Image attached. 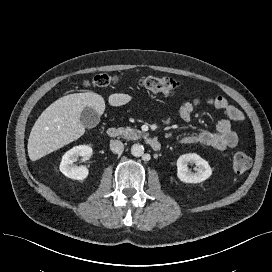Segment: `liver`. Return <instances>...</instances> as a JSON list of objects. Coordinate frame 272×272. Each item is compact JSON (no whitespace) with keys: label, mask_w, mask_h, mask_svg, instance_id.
<instances>
[{"label":"liver","mask_w":272,"mask_h":272,"mask_svg":"<svg viewBox=\"0 0 272 272\" xmlns=\"http://www.w3.org/2000/svg\"><path fill=\"white\" fill-rule=\"evenodd\" d=\"M128 94L109 96L111 106H122L131 101ZM85 107L93 108L99 115L105 110L104 98L94 92L63 96L48 106L36 120L28 139V155L36 161L53 151L77 140L85 133L80 116Z\"/></svg>","instance_id":"liver-1"}]
</instances>
